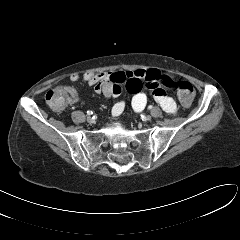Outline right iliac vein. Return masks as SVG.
I'll use <instances>...</instances> for the list:
<instances>
[{"label":"right iliac vein","mask_w":240,"mask_h":240,"mask_svg":"<svg viewBox=\"0 0 240 240\" xmlns=\"http://www.w3.org/2000/svg\"><path fill=\"white\" fill-rule=\"evenodd\" d=\"M87 122H88V123H93L94 120H93V118H92L91 116H88V117H87Z\"/></svg>","instance_id":"obj_1"}]
</instances>
